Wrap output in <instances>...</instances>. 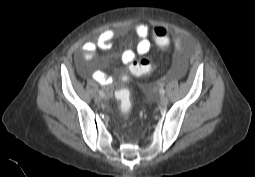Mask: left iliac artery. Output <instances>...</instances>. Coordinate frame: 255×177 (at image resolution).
<instances>
[{
  "label": "left iliac artery",
  "mask_w": 255,
  "mask_h": 177,
  "mask_svg": "<svg viewBox=\"0 0 255 177\" xmlns=\"http://www.w3.org/2000/svg\"><path fill=\"white\" fill-rule=\"evenodd\" d=\"M160 94H165V90L164 89H160Z\"/></svg>",
  "instance_id": "left-iliac-artery-1"
}]
</instances>
